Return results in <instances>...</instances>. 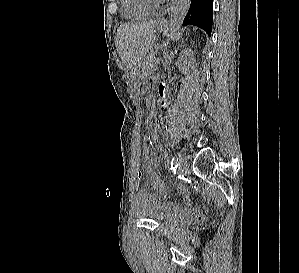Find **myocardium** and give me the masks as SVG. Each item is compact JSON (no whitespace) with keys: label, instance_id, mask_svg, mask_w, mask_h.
<instances>
[{"label":"myocardium","instance_id":"myocardium-1","mask_svg":"<svg viewBox=\"0 0 299 273\" xmlns=\"http://www.w3.org/2000/svg\"><path fill=\"white\" fill-rule=\"evenodd\" d=\"M142 4L151 12L158 10L165 0H140Z\"/></svg>","mask_w":299,"mask_h":273}]
</instances>
